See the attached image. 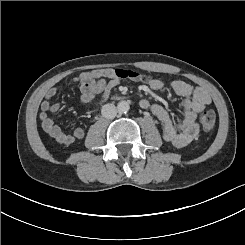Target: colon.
<instances>
[{"mask_svg":"<svg viewBox=\"0 0 245 245\" xmlns=\"http://www.w3.org/2000/svg\"><path fill=\"white\" fill-rule=\"evenodd\" d=\"M115 75L120 79H130L134 81H149V76L144 73L118 68L114 70ZM216 116L212 110L204 111L200 116V125L203 131L210 132L214 129Z\"/></svg>","mask_w":245,"mask_h":245,"instance_id":"obj_1","label":"colon"}]
</instances>
